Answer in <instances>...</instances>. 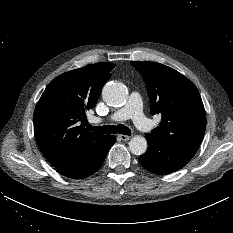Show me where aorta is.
I'll use <instances>...</instances> for the list:
<instances>
[{"label":"aorta","instance_id":"obj_1","mask_svg":"<svg viewBox=\"0 0 233 233\" xmlns=\"http://www.w3.org/2000/svg\"><path fill=\"white\" fill-rule=\"evenodd\" d=\"M103 100L111 106H121L126 102L127 92L119 82H108L102 90ZM147 140L143 136L136 135L129 142V149L135 155H142L147 150Z\"/></svg>","mask_w":233,"mask_h":233}]
</instances>
